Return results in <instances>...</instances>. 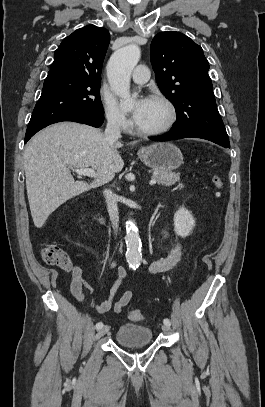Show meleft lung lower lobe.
<instances>
[{"instance_id":"0a47b994","label":"left lung lower lobe","mask_w":265,"mask_h":407,"mask_svg":"<svg viewBox=\"0 0 265 407\" xmlns=\"http://www.w3.org/2000/svg\"><path fill=\"white\" fill-rule=\"evenodd\" d=\"M187 137H195V138H202V139H206L209 141H212L216 144H219L223 147H227L230 148V143H224V142H220L217 141L215 139L209 138L207 136H203L200 134H196V133H191V132H182V133H168L165 135H161V136H155V137H151L150 139L155 140V141H169V140H174V139H181V138H187Z\"/></svg>"}]
</instances>
